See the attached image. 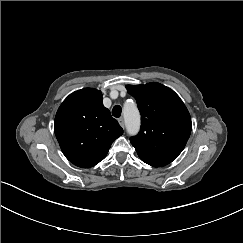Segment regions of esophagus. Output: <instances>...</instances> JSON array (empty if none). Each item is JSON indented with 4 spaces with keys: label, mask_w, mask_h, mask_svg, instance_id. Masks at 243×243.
Masks as SVG:
<instances>
[{
    "label": "esophagus",
    "mask_w": 243,
    "mask_h": 243,
    "mask_svg": "<svg viewBox=\"0 0 243 243\" xmlns=\"http://www.w3.org/2000/svg\"><path fill=\"white\" fill-rule=\"evenodd\" d=\"M118 122L121 125V127L124 128L125 124H124V120L122 117L118 119Z\"/></svg>",
    "instance_id": "esophagus-1"
}]
</instances>
